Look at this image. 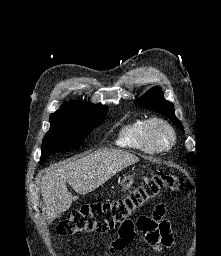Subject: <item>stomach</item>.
Segmentation results:
<instances>
[{
  "instance_id": "obj_1",
  "label": "stomach",
  "mask_w": 221,
  "mask_h": 256,
  "mask_svg": "<svg viewBox=\"0 0 221 256\" xmlns=\"http://www.w3.org/2000/svg\"><path fill=\"white\" fill-rule=\"evenodd\" d=\"M133 183H134L133 176H125V177L121 180V182H120V184H121V186H122V188H123L124 190H127V189L131 188L132 185H133Z\"/></svg>"
}]
</instances>
